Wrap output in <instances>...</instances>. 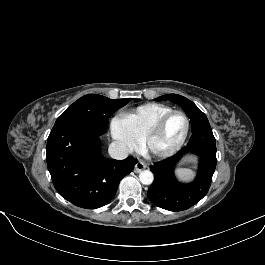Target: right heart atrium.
Masks as SVG:
<instances>
[{
  "label": "right heart atrium",
  "mask_w": 265,
  "mask_h": 265,
  "mask_svg": "<svg viewBox=\"0 0 265 265\" xmlns=\"http://www.w3.org/2000/svg\"><path fill=\"white\" fill-rule=\"evenodd\" d=\"M110 131L123 150L133 151L138 147L140 140L130 131L121 117L115 116L111 119Z\"/></svg>",
  "instance_id": "obj_1"
}]
</instances>
